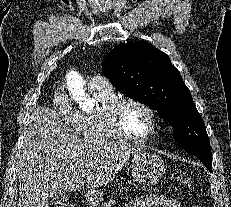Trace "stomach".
<instances>
[{"instance_id":"obj_1","label":"stomach","mask_w":231,"mask_h":207,"mask_svg":"<svg viewBox=\"0 0 231 207\" xmlns=\"http://www.w3.org/2000/svg\"><path fill=\"white\" fill-rule=\"evenodd\" d=\"M130 169L139 184L156 183L165 172L164 161L158 154L146 149H140L131 155ZM102 197L99 194L92 199L93 204H99Z\"/></svg>"}]
</instances>
